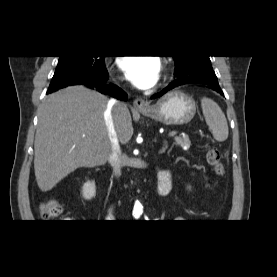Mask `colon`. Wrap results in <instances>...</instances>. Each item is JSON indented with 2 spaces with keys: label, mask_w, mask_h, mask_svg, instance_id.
Masks as SVG:
<instances>
[{
  "label": "colon",
  "mask_w": 277,
  "mask_h": 277,
  "mask_svg": "<svg viewBox=\"0 0 277 277\" xmlns=\"http://www.w3.org/2000/svg\"><path fill=\"white\" fill-rule=\"evenodd\" d=\"M207 162L215 169L218 174L223 173V164L221 160L220 152L212 147H208L206 150ZM62 212L60 204L55 200H47L41 206V217L44 219H55Z\"/></svg>",
  "instance_id": "colon-1"
}]
</instances>
